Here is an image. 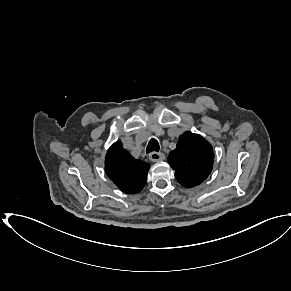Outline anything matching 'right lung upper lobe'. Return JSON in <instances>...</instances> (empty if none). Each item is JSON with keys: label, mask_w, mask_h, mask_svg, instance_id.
<instances>
[{"label": "right lung upper lobe", "mask_w": 291, "mask_h": 291, "mask_svg": "<svg viewBox=\"0 0 291 291\" xmlns=\"http://www.w3.org/2000/svg\"><path fill=\"white\" fill-rule=\"evenodd\" d=\"M149 168V163L132 157L120 141L115 142L106 154L107 176L127 194H135L143 189Z\"/></svg>", "instance_id": "obj_1"}]
</instances>
